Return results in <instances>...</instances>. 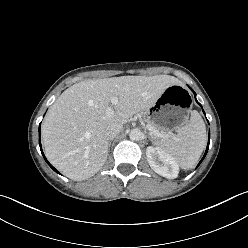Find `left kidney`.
I'll use <instances>...</instances> for the list:
<instances>
[{
  "label": "left kidney",
  "mask_w": 248,
  "mask_h": 248,
  "mask_svg": "<svg viewBox=\"0 0 248 248\" xmlns=\"http://www.w3.org/2000/svg\"><path fill=\"white\" fill-rule=\"evenodd\" d=\"M146 157L150 167L159 175L168 179L178 176L179 167L175 160L159 147L149 146Z\"/></svg>",
  "instance_id": "obj_1"
}]
</instances>
